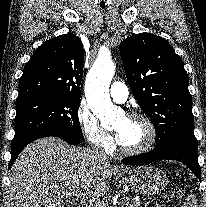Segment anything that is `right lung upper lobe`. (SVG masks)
Wrapping results in <instances>:
<instances>
[{
    "mask_svg": "<svg viewBox=\"0 0 206 207\" xmlns=\"http://www.w3.org/2000/svg\"><path fill=\"white\" fill-rule=\"evenodd\" d=\"M84 50L73 34L52 38L36 49L25 65L16 100L35 95L80 98Z\"/></svg>",
    "mask_w": 206,
    "mask_h": 207,
    "instance_id": "1",
    "label": "right lung upper lobe"
}]
</instances>
